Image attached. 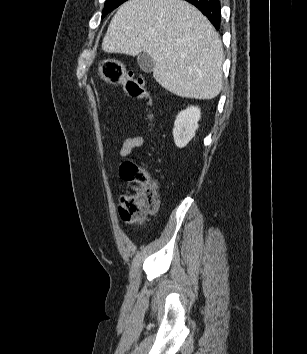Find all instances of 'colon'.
Wrapping results in <instances>:
<instances>
[{
  "instance_id": "5ec220e1",
  "label": "colon",
  "mask_w": 307,
  "mask_h": 354,
  "mask_svg": "<svg viewBox=\"0 0 307 354\" xmlns=\"http://www.w3.org/2000/svg\"><path fill=\"white\" fill-rule=\"evenodd\" d=\"M98 75L106 83L123 84L132 97L149 99L143 77L127 70L123 63L115 58L102 59L98 66ZM120 176L131 184L132 188L119 199V215L124 222H139L158 206L157 182L147 169L131 161L122 164Z\"/></svg>"
}]
</instances>
